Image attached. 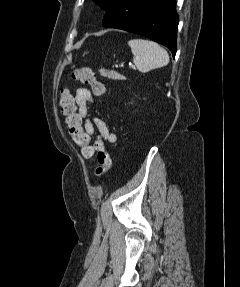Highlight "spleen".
<instances>
[{
  "label": "spleen",
  "mask_w": 240,
  "mask_h": 287,
  "mask_svg": "<svg viewBox=\"0 0 240 287\" xmlns=\"http://www.w3.org/2000/svg\"><path fill=\"white\" fill-rule=\"evenodd\" d=\"M133 54V62L142 73L166 66L169 63L167 51L154 41L131 39L128 41Z\"/></svg>",
  "instance_id": "obj_1"
}]
</instances>
